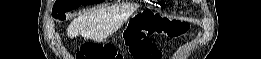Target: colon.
Wrapping results in <instances>:
<instances>
[{"label": "colon", "instance_id": "obj_1", "mask_svg": "<svg viewBox=\"0 0 261 59\" xmlns=\"http://www.w3.org/2000/svg\"><path fill=\"white\" fill-rule=\"evenodd\" d=\"M188 26L169 21L156 14H143L129 31L127 41L134 59H159L161 53L152 42L151 36L165 34L169 38H178L185 34ZM120 55L112 47L96 43L85 44L76 59H118Z\"/></svg>", "mask_w": 261, "mask_h": 59}]
</instances>
